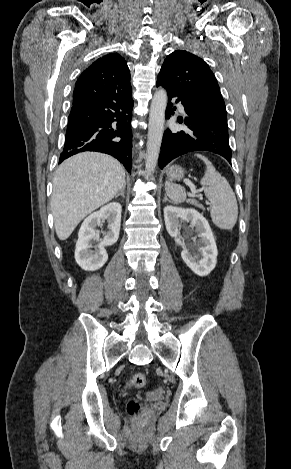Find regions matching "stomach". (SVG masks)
<instances>
[{"instance_id": "stomach-1", "label": "stomach", "mask_w": 291, "mask_h": 469, "mask_svg": "<svg viewBox=\"0 0 291 469\" xmlns=\"http://www.w3.org/2000/svg\"><path fill=\"white\" fill-rule=\"evenodd\" d=\"M166 173L170 180H180L184 175V170L178 165H173L167 169Z\"/></svg>"}]
</instances>
